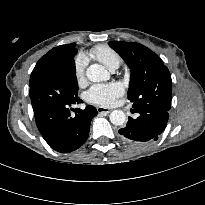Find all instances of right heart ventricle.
Wrapping results in <instances>:
<instances>
[{
	"instance_id": "e07e8e85",
	"label": "right heart ventricle",
	"mask_w": 205,
	"mask_h": 205,
	"mask_svg": "<svg viewBox=\"0 0 205 205\" xmlns=\"http://www.w3.org/2000/svg\"><path fill=\"white\" fill-rule=\"evenodd\" d=\"M89 54L110 70L117 69L122 62L121 56L114 49L103 44L93 47Z\"/></svg>"
}]
</instances>
